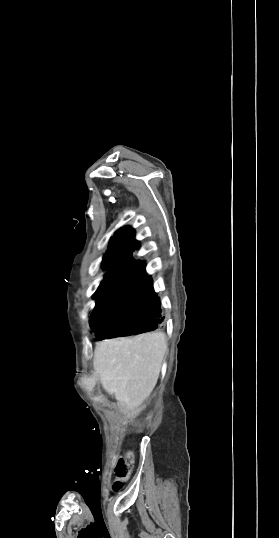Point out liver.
Here are the masks:
<instances>
[{
  "label": "liver",
  "instance_id": "liver-1",
  "mask_svg": "<svg viewBox=\"0 0 279 538\" xmlns=\"http://www.w3.org/2000/svg\"><path fill=\"white\" fill-rule=\"evenodd\" d=\"M166 350L163 332L97 342L94 368L102 388L114 394L131 416L140 412L139 406L153 392Z\"/></svg>",
  "mask_w": 279,
  "mask_h": 538
}]
</instances>
